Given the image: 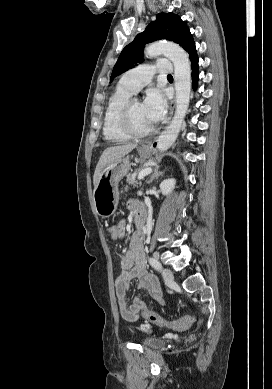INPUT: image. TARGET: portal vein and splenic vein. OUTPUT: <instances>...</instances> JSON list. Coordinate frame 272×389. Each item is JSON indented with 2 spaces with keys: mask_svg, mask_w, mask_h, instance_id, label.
Here are the masks:
<instances>
[{
  "mask_svg": "<svg viewBox=\"0 0 272 389\" xmlns=\"http://www.w3.org/2000/svg\"><path fill=\"white\" fill-rule=\"evenodd\" d=\"M152 172V168L151 167H147V168H144L142 169L139 174H138V180H141L143 179L145 176H147L148 174H150Z\"/></svg>",
  "mask_w": 272,
  "mask_h": 389,
  "instance_id": "portal-vein-and-splenic-vein-1",
  "label": "portal vein and splenic vein"
}]
</instances>
